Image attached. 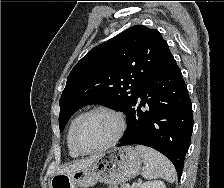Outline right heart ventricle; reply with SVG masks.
I'll list each match as a JSON object with an SVG mask.
<instances>
[{"label":"right heart ventricle","instance_id":"obj_1","mask_svg":"<svg viewBox=\"0 0 224 188\" xmlns=\"http://www.w3.org/2000/svg\"><path fill=\"white\" fill-rule=\"evenodd\" d=\"M81 115H78L76 116L70 123V126H69V129H68V133H67V147H68V150H69V154L71 157L73 158H77L80 156V153H78L74 147H73V144H72V132H73V128L78 120V118L80 117Z\"/></svg>","mask_w":224,"mask_h":188}]
</instances>
